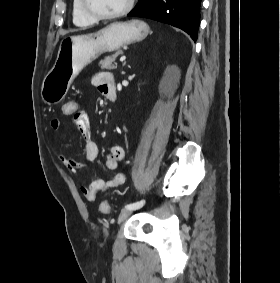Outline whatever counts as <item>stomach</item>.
<instances>
[{"mask_svg":"<svg viewBox=\"0 0 280 283\" xmlns=\"http://www.w3.org/2000/svg\"><path fill=\"white\" fill-rule=\"evenodd\" d=\"M149 32L147 23L134 19L111 23L93 33L63 38L55 64L42 82V100L49 105L59 103L84 67L104 53L145 39Z\"/></svg>","mask_w":280,"mask_h":283,"instance_id":"stomach-1","label":"stomach"}]
</instances>
